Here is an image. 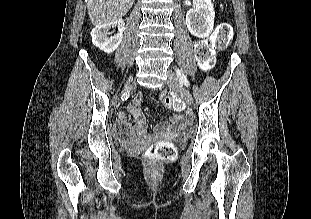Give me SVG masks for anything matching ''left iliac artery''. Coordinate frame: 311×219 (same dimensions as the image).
<instances>
[{
	"instance_id": "44dca946",
	"label": "left iliac artery",
	"mask_w": 311,
	"mask_h": 219,
	"mask_svg": "<svg viewBox=\"0 0 311 219\" xmlns=\"http://www.w3.org/2000/svg\"><path fill=\"white\" fill-rule=\"evenodd\" d=\"M176 74H177V77H178L180 83L184 84L186 87L190 86L189 81L187 80L186 76L184 75V73L181 70L176 69Z\"/></svg>"
}]
</instances>
